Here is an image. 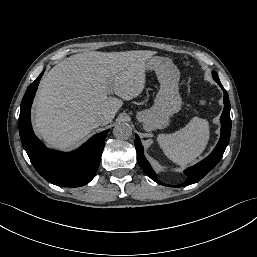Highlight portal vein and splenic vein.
<instances>
[{
	"label": "portal vein and splenic vein",
	"mask_w": 257,
	"mask_h": 257,
	"mask_svg": "<svg viewBox=\"0 0 257 257\" xmlns=\"http://www.w3.org/2000/svg\"><path fill=\"white\" fill-rule=\"evenodd\" d=\"M111 92H112V91L109 89V90H108V93L110 94Z\"/></svg>",
	"instance_id": "obj_1"
}]
</instances>
